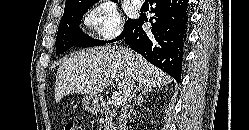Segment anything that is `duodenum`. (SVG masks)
Returning a JSON list of instances; mask_svg holds the SVG:
<instances>
[{
  "mask_svg": "<svg viewBox=\"0 0 249 130\" xmlns=\"http://www.w3.org/2000/svg\"><path fill=\"white\" fill-rule=\"evenodd\" d=\"M107 110V106H106V104L104 103V102H100V111H106Z\"/></svg>",
  "mask_w": 249,
  "mask_h": 130,
  "instance_id": "410a0bca",
  "label": "duodenum"
}]
</instances>
